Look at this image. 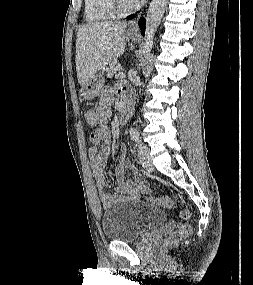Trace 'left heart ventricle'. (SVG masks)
<instances>
[{"label":"left heart ventricle","instance_id":"1","mask_svg":"<svg viewBox=\"0 0 253 285\" xmlns=\"http://www.w3.org/2000/svg\"><path fill=\"white\" fill-rule=\"evenodd\" d=\"M123 4L128 6V5H131L132 3H134L133 0H122Z\"/></svg>","mask_w":253,"mask_h":285}]
</instances>
